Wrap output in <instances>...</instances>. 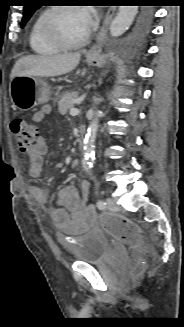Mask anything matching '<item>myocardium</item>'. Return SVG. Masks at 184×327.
Returning a JSON list of instances; mask_svg holds the SVG:
<instances>
[{"mask_svg":"<svg viewBox=\"0 0 184 327\" xmlns=\"http://www.w3.org/2000/svg\"><path fill=\"white\" fill-rule=\"evenodd\" d=\"M70 9H78L77 7H71V6H55L51 7L43 21V31L46 35V37L56 46L62 48V49H75L82 47L85 45L90 37H91V29L89 28L88 32L79 40L77 41H70L66 39L58 30L57 28V15L61 11L70 10Z\"/></svg>","mask_w":184,"mask_h":327,"instance_id":"f54148a6","label":"myocardium"}]
</instances>
